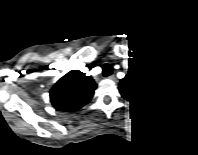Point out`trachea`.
Here are the masks:
<instances>
[{"label": "trachea", "mask_w": 198, "mask_h": 155, "mask_svg": "<svg viewBox=\"0 0 198 155\" xmlns=\"http://www.w3.org/2000/svg\"><path fill=\"white\" fill-rule=\"evenodd\" d=\"M112 73V67L110 65H105L103 74L104 76H109Z\"/></svg>", "instance_id": "3493384b"}]
</instances>
